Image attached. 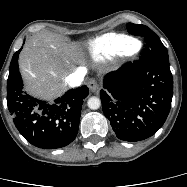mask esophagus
Instances as JSON below:
<instances>
[{"label": "esophagus", "instance_id": "obj_1", "mask_svg": "<svg viewBox=\"0 0 187 187\" xmlns=\"http://www.w3.org/2000/svg\"><path fill=\"white\" fill-rule=\"evenodd\" d=\"M88 86L92 92H96L99 89V84L95 80H90Z\"/></svg>", "mask_w": 187, "mask_h": 187}]
</instances>
